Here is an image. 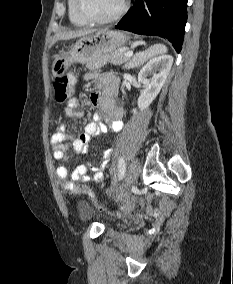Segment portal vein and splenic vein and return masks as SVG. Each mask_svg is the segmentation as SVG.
Listing matches in <instances>:
<instances>
[{
  "mask_svg": "<svg viewBox=\"0 0 233 284\" xmlns=\"http://www.w3.org/2000/svg\"><path fill=\"white\" fill-rule=\"evenodd\" d=\"M133 56V52L132 51H128L126 53V57L131 58Z\"/></svg>",
  "mask_w": 233,
  "mask_h": 284,
  "instance_id": "obj_1",
  "label": "portal vein and splenic vein"
}]
</instances>
